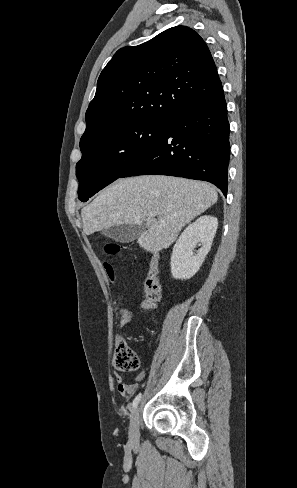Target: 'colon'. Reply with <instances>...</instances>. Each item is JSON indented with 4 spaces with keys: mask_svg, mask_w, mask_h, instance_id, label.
Listing matches in <instances>:
<instances>
[{
    "mask_svg": "<svg viewBox=\"0 0 297 488\" xmlns=\"http://www.w3.org/2000/svg\"><path fill=\"white\" fill-rule=\"evenodd\" d=\"M120 249L121 247L114 243H110L105 247L106 252L111 255L116 254L120 251ZM105 270L108 276L113 279L114 269L112 265L105 263ZM144 289L145 297L142 307L146 311H152L156 308L160 300V285L157 280V257L155 254H153L151 257L149 272L145 280ZM114 364L118 370L123 372L135 371L139 366L137 356L122 339H118L115 345Z\"/></svg>",
    "mask_w": 297,
    "mask_h": 488,
    "instance_id": "1",
    "label": "colon"
}]
</instances>
